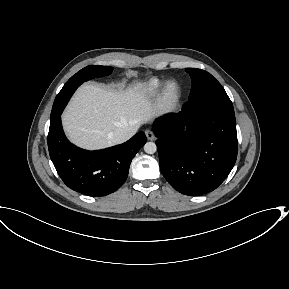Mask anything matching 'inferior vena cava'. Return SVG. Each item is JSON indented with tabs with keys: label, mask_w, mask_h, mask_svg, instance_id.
I'll list each match as a JSON object with an SVG mask.
<instances>
[{
	"label": "inferior vena cava",
	"mask_w": 289,
	"mask_h": 289,
	"mask_svg": "<svg viewBox=\"0 0 289 289\" xmlns=\"http://www.w3.org/2000/svg\"><path fill=\"white\" fill-rule=\"evenodd\" d=\"M115 144L125 142L130 138V133L125 129H116L108 135Z\"/></svg>",
	"instance_id": "inferior-vena-cava-1"
}]
</instances>
